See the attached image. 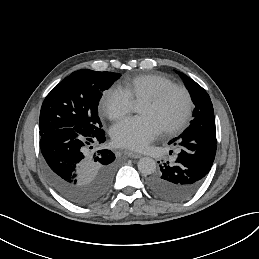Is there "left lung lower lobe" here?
<instances>
[{
  "label": "left lung lower lobe",
  "mask_w": 259,
  "mask_h": 259,
  "mask_svg": "<svg viewBox=\"0 0 259 259\" xmlns=\"http://www.w3.org/2000/svg\"><path fill=\"white\" fill-rule=\"evenodd\" d=\"M181 149L175 163L160 165V171L147 183L159 197L170 201H182L191 197L202 185L216 155V128L189 126L169 144Z\"/></svg>",
  "instance_id": "1"
}]
</instances>
